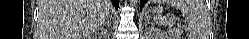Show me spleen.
I'll use <instances>...</instances> for the list:
<instances>
[{
  "instance_id": "3e777b00",
  "label": "spleen",
  "mask_w": 249,
  "mask_h": 39,
  "mask_svg": "<svg viewBox=\"0 0 249 39\" xmlns=\"http://www.w3.org/2000/svg\"><path fill=\"white\" fill-rule=\"evenodd\" d=\"M156 2H164L161 0H153ZM171 6L181 10L185 19L189 39H206L210 32V16L203 0H171L167 1ZM159 23L164 22L161 16L154 17ZM174 19H170L168 24H173Z\"/></svg>"
}]
</instances>
